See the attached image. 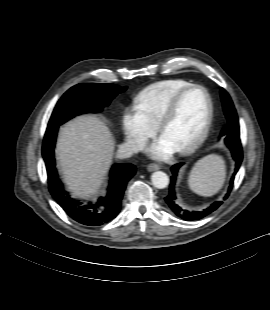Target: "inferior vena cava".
Returning <instances> with one entry per match:
<instances>
[{"instance_id":"obj_1","label":"inferior vena cava","mask_w":270,"mask_h":310,"mask_svg":"<svg viewBox=\"0 0 270 310\" xmlns=\"http://www.w3.org/2000/svg\"><path fill=\"white\" fill-rule=\"evenodd\" d=\"M145 147V144L143 142H133V141H127L120 145L117 153L118 158H128L132 154L137 153L139 151H142Z\"/></svg>"}]
</instances>
